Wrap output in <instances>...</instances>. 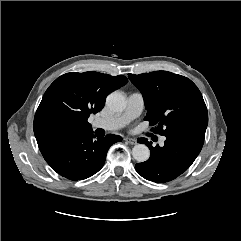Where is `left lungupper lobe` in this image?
I'll list each match as a JSON object with an SVG mask.
<instances>
[{"instance_id":"1","label":"left lung upper lobe","mask_w":241,"mask_h":241,"mask_svg":"<svg viewBox=\"0 0 241 241\" xmlns=\"http://www.w3.org/2000/svg\"><path fill=\"white\" fill-rule=\"evenodd\" d=\"M143 95L145 120L163 136L204 132L208 113L202 94L188 78L167 71L128 74Z\"/></svg>"}]
</instances>
